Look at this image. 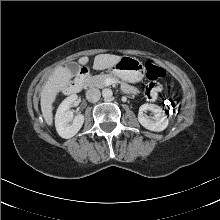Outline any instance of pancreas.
Listing matches in <instances>:
<instances>
[{
  "mask_svg": "<svg viewBox=\"0 0 220 220\" xmlns=\"http://www.w3.org/2000/svg\"><path fill=\"white\" fill-rule=\"evenodd\" d=\"M114 79V80H118L116 75L114 74H99V75H95V76H89L85 79V84L90 87H97V88H104L106 86V79ZM121 84V88L123 90L129 91L133 94H137L139 91L137 88L127 84L124 81H120Z\"/></svg>",
  "mask_w": 220,
  "mask_h": 220,
  "instance_id": "1",
  "label": "pancreas"
}]
</instances>
